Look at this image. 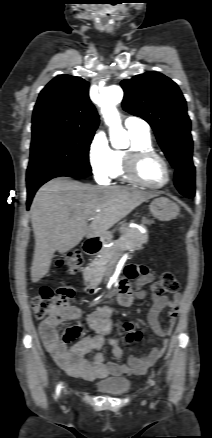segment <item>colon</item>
<instances>
[{"label":"colon","mask_w":212,"mask_h":438,"mask_svg":"<svg viewBox=\"0 0 212 438\" xmlns=\"http://www.w3.org/2000/svg\"><path fill=\"white\" fill-rule=\"evenodd\" d=\"M82 255L78 251H71L57 261L58 266H65L69 272H76L82 264ZM153 292L157 296L175 293L179 289V283L175 275L171 272L163 273L153 284ZM74 296L70 287L63 286L58 289V296L50 287H42L34 300L33 306L36 317L43 321H57L58 313L63 304H67ZM81 333L80 326H72L65 329L62 339L65 342H72Z\"/></svg>","instance_id":"5ec220e1"}]
</instances>
